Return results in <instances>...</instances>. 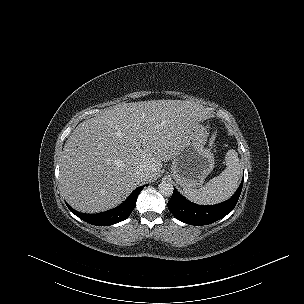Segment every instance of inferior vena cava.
<instances>
[{
	"label": "inferior vena cava",
	"instance_id": "inferior-vena-cava-1",
	"mask_svg": "<svg viewBox=\"0 0 304 304\" xmlns=\"http://www.w3.org/2000/svg\"><path fill=\"white\" fill-rule=\"evenodd\" d=\"M137 177L141 180V181H145L148 177V172L146 170L143 169H139L136 172Z\"/></svg>",
	"mask_w": 304,
	"mask_h": 304
}]
</instances>
